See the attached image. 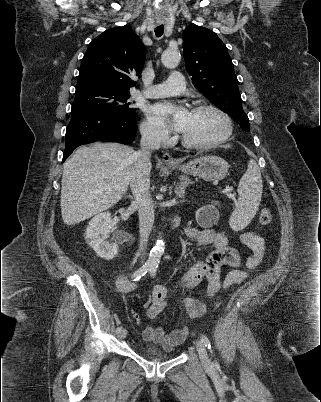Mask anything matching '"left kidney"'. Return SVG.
<instances>
[{
  "mask_svg": "<svg viewBox=\"0 0 321 402\" xmlns=\"http://www.w3.org/2000/svg\"><path fill=\"white\" fill-rule=\"evenodd\" d=\"M217 203L201 207L196 211V221L201 226L211 227L219 220V212L215 207Z\"/></svg>",
  "mask_w": 321,
  "mask_h": 402,
  "instance_id": "left-kidney-1",
  "label": "left kidney"
}]
</instances>
